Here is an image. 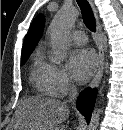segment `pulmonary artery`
<instances>
[{
	"instance_id": "e3ab8cb5",
	"label": "pulmonary artery",
	"mask_w": 123,
	"mask_h": 130,
	"mask_svg": "<svg viewBox=\"0 0 123 130\" xmlns=\"http://www.w3.org/2000/svg\"><path fill=\"white\" fill-rule=\"evenodd\" d=\"M70 38L77 45H85L87 43V36L83 31H73Z\"/></svg>"
}]
</instances>
